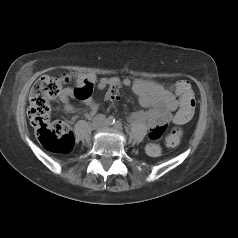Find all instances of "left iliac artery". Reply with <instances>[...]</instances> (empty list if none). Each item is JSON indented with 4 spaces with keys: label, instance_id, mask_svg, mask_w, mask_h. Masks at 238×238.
I'll return each instance as SVG.
<instances>
[{
    "label": "left iliac artery",
    "instance_id": "44dca946",
    "mask_svg": "<svg viewBox=\"0 0 238 238\" xmlns=\"http://www.w3.org/2000/svg\"><path fill=\"white\" fill-rule=\"evenodd\" d=\"M114 127L116 129H121V123L119 121H116V123L114 124Z\"/></svg>",
    "mask_w": 238,
    "mask_h": 238
}]
</instances>
